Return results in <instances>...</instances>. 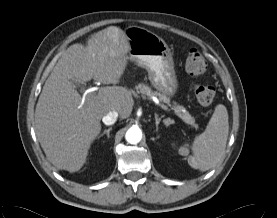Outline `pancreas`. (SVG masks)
Here are the masks:
<instances>
[{
    "instance_id": "pancreas-1",
    "label": "pancreas",
    "mask_w": 277,
    "mask_h": 218,
    "mask_svg": "<svg viewBox=\"0 0 277 218\" xmlns=\"http://www.w3.org/2000/svg\"><path fill=\"white\" fill-rule=\"evenodd\" d=\"M137 93H141L143 95H146L148 97L156 96L159 98L160 101L169 104L170 100L165 95L153 91L149 86L144 84H139L136 86ZM175 113L186 123L189 124L195 128H198V125L195 123V119L185 110L183 106L176 105L173 107Z\"/></svg>"
}]
</instances>
